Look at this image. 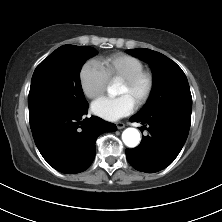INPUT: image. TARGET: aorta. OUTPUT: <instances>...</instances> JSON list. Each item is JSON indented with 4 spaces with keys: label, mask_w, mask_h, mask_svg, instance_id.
Instances as JSON below:
<instances>
[{
    "label": "aorta",
    "mask_w": 222,
    "mask_h": 222,
    "mask_svg": "<svg viewBox=\"0 0 222 222\" xmlns=\"http://www.w3.org/2000/svg\"><path fill=\"white\" fill-rule=\"evenodd\" d=\"M108 93L110 95H116V85H111L108 87ZM122 140L127 147L134 148L140 142V133L135 128H127L122 133Z\"/></svg>",
    "instance_id": "aorta-1"
}]
</instances>
